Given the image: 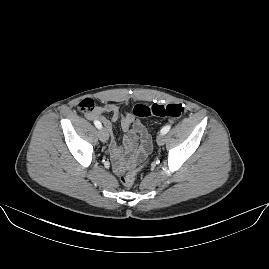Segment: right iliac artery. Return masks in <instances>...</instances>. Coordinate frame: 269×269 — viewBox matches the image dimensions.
I'll return each mask as SVG.
<instances>
[{
    "label": "right iliac artery",
    "mask_w": 269,
    "mask_h": 269,
    "mask_svg": "<svg viewBox=\"0 0 269 269\" xmlns=\"http://www.w3.org/2000/svg\"><path fill=\"white\" fill-rule=\"evenodd\" d=\"M94 125H95L98 129L102 128V124H101L99 121H97V120L94 121Z\"/></svg>",
    "instance_id": "82829eb1"
}]
</instances>
